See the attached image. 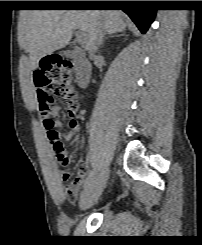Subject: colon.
<instances>
[{
	"label": "colon",
	"instance_id": "1",
	"mask_svg": "<svg viewBox=\"0 0 202 245\" xmlns=\"http://www.w3.org/2000/svg\"><path fill=\"white\" fill-rule=\"evenodd\" d=\"M74 65L66 59L54 56L47 57L34 71L35 96L37 110L43 117L45 126L53 124L51 115L53 95L63 99L70 115H76L82 108V99L79 91L73 84ZM51 147L62 150V143L55 131L48 134Z\"/></svg>",
	"mask_w": 202,
	"mask_h": 245
}]
</instances>
